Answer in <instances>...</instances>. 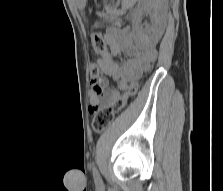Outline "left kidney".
<instances>
[{
  "instance_id": "1",
  "label": "left kidney",
  "mask_w": 223,
  "mask_h": 191,
  "mask_svg": "<svg viewBox=\"0 0 223 191\" xmlns=\"http://www.w3.org/2000/svg\"><path fill=\"white\" fill-rule=\"evenodd\" d=\"M167 0H143L135 10L132 24L138 42L143 46L155 45L163 32ZM150 13L151 26L142 25L144 13Z\"/></svg>"
}]
</instances>
